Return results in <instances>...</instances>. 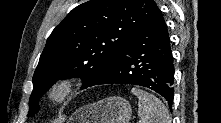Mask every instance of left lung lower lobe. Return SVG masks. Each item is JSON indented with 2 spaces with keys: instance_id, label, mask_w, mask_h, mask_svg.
<instances>
[{
  "instance_id": "1",
  "label": "left lung lower lobe",
  "mask_w": 221,
  "mask_h": 123,
  "mask_svg": "<svg viewBox=\"0 0 221 123\" xmlns=\"http://www.w3.org/2000/svg\"><path fill=\"white\" fill-rule=\"evenodd\" d=\"M174 71L167 26L158 9L121 55L87 87L100 84L148 87L164 97L172 110Z\"/></svg>"
}]
</instances>
